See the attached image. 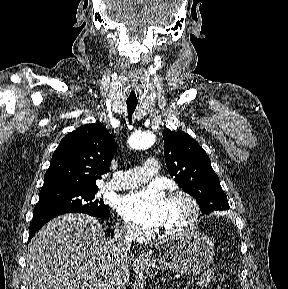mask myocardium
<instances>
[{
    "label": "myocardium",
    "instance_id": "f54148a6",
    "mask_svg": "<svg viewBox=\"0 0 288 289\" xmlns=\"http://www.w3.org/2000/svg\"><path fill=\"white\" fill-rule=\"evenodd\" d=\"M167 199L185 202L189 209V218L184 227L176 230H163V234L169 238H182L192 234L197 229L200 218V207L196 198L184 191H172Z\"/></svg>",
    "mask_w": 288,
    "mask_h": 289
}]
</instances>
